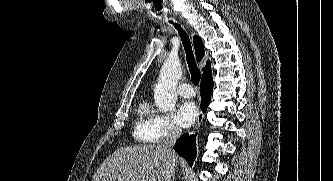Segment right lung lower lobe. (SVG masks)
<instances>
[{
  "label": "right lung lower lobe",
  "mask_w": 333,
  "mask_h": 181,
  "mask_svg": "<svg viewBox=\"0 0 333 181\" xmlns=\"http://www.w3.org/2000/svg\"><path fill=\"white\" fill-rule=\"evenodd\" d=\"M201 95H202V100H201V108L203 112L206 111L210 99H211V94L213 90V79L211 78H206L202 79L201 81ZM195 139L196 135H188V133L182 135L175 143L174 145V150L185 160L192 165L193 161L196 157V147H195Z\"/></svg>",
  "instance_id": "1"
}]
</instances>
